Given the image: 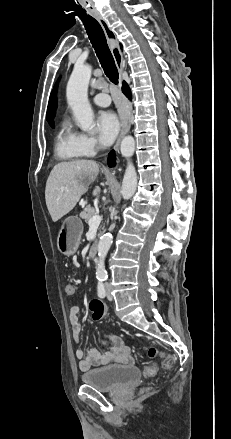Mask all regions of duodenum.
I'll list each match as a JSON object with an SVG mask.
<instances>
[{"label": "duodenum", "instance_id": "410a0bca", "mask_svg": "<svg viewBox=\"0 0 231 439\" xmlns=\"http://www.w3.org/2000/svg\"><path fill=\"white\" fill-rule=\"evenodd\" d=\"M97 250H98V247H97V245L96 244H93L90 248H89V250H88V258L89 259H94L96 256H97Z\"/></svg>", "mask_w": 231, "mask_h": 439}]
</instances>
